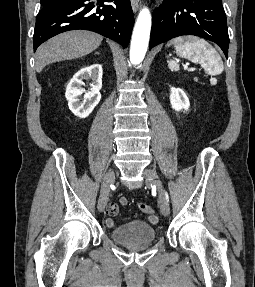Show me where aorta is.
<instances>
[{"mask_svg":"<svg viewBox=\"0 0 255 287\" xmlns=\"http://www.w3.org/2000/svg\"><path fill=\"white\" fill-rule=\"evenodd\" d=\"M151 30V14L147 8H143L137 18L132 34L130 47V61L136 65L145 57Z\"/></svg>","mask_w":255,"mask_h":287,"instance_id":"aorta-1","label":"aorta"}]
</instances>
